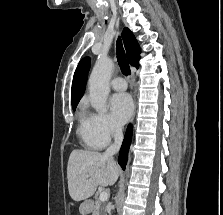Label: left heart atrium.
Segmentation results:
<instances>
[{"mask_svg": "<svg viewBox=\"0 0 223 215\" xmlns=\"http://www.w3.org/2000/svg\"><path fill=\"white\" fill-rule=\"evenodd\" d=\"M110 108L114 120L123 124L132 114V99L126 93L115 94L110 99Z\"/></svg>", "mask_w": 223, "mask_h": 215, "instance_id": "39dd6f15", "label": "left heart atrium"}]
</instances>
